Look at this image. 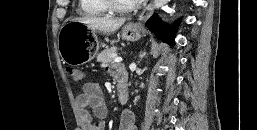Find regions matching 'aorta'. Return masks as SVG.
<instances>
[{"label":"aorta","mask_w":257,"mask_h":130,"mask_svg":"<svg viewBox=\"0 0 257 130\" xmlns=\"http://www.w3.org/2000/svg\"><path fill=\"white\" fill-rule=\"evenodd\" d=\"M165 3V0H154V6L159 8Z\"/></svg>","instance_id":"762f6f07"}]
</instances>
